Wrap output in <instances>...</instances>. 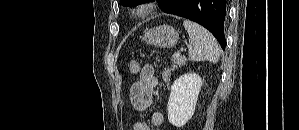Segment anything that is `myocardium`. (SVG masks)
<instances>
[{"instance_id": "1", "label": "myocardium", "mask_w": 299, "mask_h": 130, "mask_svg": "<svg viewBox=\"0 0 299 130\" xmlns=\"http://www.w3.org/2000/svg\"><path fill=\"white\" fill-rule=\"evenodd\" d=\"M152 1L133 5L128 9L129 17L132 19H141L150 15L154 11Z\"/></svg>"}]
</instances>
